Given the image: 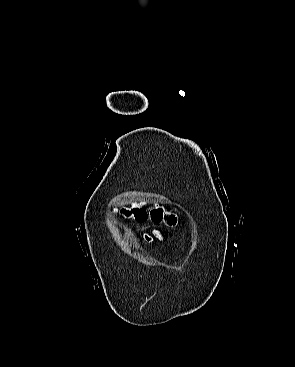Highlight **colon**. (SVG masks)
<instances>
[{"label":"colon","instance_id":"1","mask_svg":"<svg viewBox=\"0 0 295 367\" xmlns=\"http://www.w3.org/2000/svg\"><path fill=\"white\" fill-rule=\"evenodd\" d=\"M139 220H143L144 219V215L143 213H139V217H138ZM156 219H158V216H156Z\"/></svg>","mask_w":295,"mask_h":367}]
</instances>
